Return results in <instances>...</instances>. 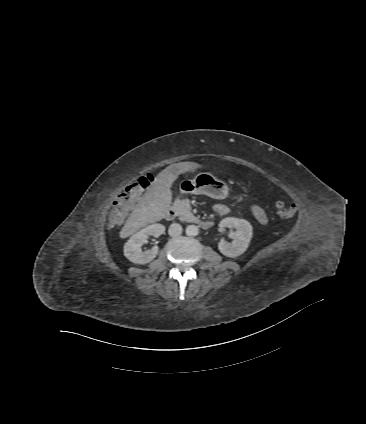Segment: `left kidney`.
Masks as SVG:
<instances>
[{"mask_svg": "<svg viewBox=\"0 0 366 424\" xmlns=\"http://www.w3.org/2000/svg\"><path fill=\"white\" fill-rule=\"evenodd\" d=\"M219 226L221 228H236V231H232L229 234V237L233 239L231 243H227L224 240H221L218 243L219 251L231 258H235L243 254L250 243L252 238V226L245 219H239L234 217H227L220 221Z\"/></svg>", "mask_w": 366, "mask_h": 424, "instance_id": "5707ae66", "label": "left kidney"}]
</instances>
